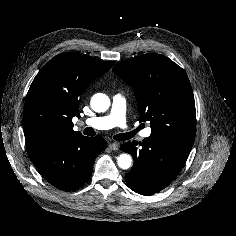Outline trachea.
Here are the masks:
<instances>
[{"label":"trachea","mask_w":236,"mask_h":236,"mask_svg":"<svg viewBox=\"0 0 236 236\" xmlns=\"http://www.w3.org/2000/svg\"><path fill=\"white\" fill-rule=\"evenodd\" d=\"M83 133L88 136H94L96 134L95 131L91 127H86L84 129ZM132 137H133V133L130 132V133L117 134L113 138L117 141H124V140H128Z\"/></svg>","instance_id":"trachea-1"}]
</instances>
